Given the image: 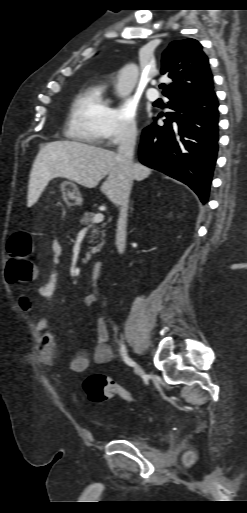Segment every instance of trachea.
I'll return each mask as SVG.
<instances>
[{"label": "trachea", "instance_id": "obj_1", "mask_svg": "<svg viewBox=\"0 0 247 513\" xmlns=\"http://www.w3.org/2000/svg\"><path fill=\"white\" fill-rule=\"evenodd\" d=\"M164 87H165V85H163V84H162V85H160V88H161V89H163Z\"/></svg>", "mask_w": 247, "mask_h": 513}]
</instances>
